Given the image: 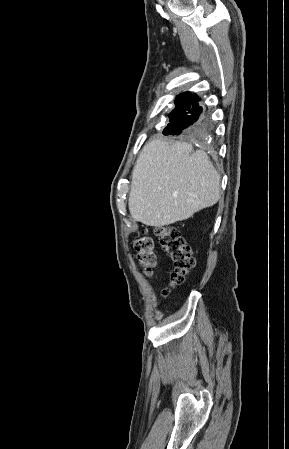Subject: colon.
<instances>
[{"mask_svg": "<svg viewBox=\"0 0 289 449\" xmlns=\"http://www.w3.org/2000/svg\"><path fill=\"white\" fill-rule=\"evenodd\" d=\"M159 244L173 264L171 286L181 284L195 265L190 247L180 231L174 226H165L157 230ZM135 249L140 266L146 275H151L157 263L154 240L147 233H142L135 240ZM169 289L163 294L167 295Z\"/></svg>", "mask_w": 289, "mask_h": 449, "instance_id": "1", "label": "colon"}]
</instances>
